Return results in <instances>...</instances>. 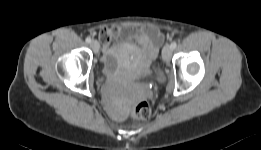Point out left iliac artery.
<instances>
[{
  "mask_svg": "<svg viewBox=\"0 0 261 150\" xmlns=\"http://www.w3.org/2000/svg\"><path fill=\"white\" fill-rule=\"evenodd\" d=\"M170 46H171L172 49H175L176 46H177V43L176 42H172Z\"/></svg>",
  "mask_w": 261,
  "mask_h": 150,
  "instance_id": "obj_1",
  "label": "left iliac artery"
}]
</instances>
